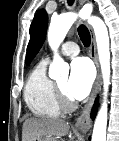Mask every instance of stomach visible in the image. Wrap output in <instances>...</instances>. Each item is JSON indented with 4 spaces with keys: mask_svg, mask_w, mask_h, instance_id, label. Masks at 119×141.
Instances as JSON below:
<instances>
[{
    "mask_svg": "<svg viewBox=\"0 0 119 141\" xmlns=\"http://www.w3.org/2000/svg\"><path fill=\"white\" fill-rule=\"evenodd\" d=\"M31 141H55L53 137L34 138Z\"/></svg>",
    "mask_w": 119,
    "mask_h": 141,
    "instance_id": "1",
    "label": "stomach"
}]
</instances>
